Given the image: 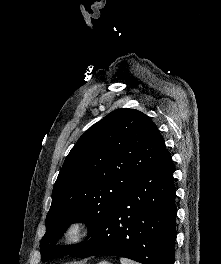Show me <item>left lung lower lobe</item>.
<instances>
[{
    "label": "left lung lower lobe",
    "mask_w": 221,
    "mask_h": 264,
    "mask_svg": "<svg viewBox=\"0 0 221 264\" xmlns=\"http://www.w3.org/2000/svg\"><path fill=\"white\" fill-rule=\"evenodd\" d=\"M176 189L166 149L71 256L109 255L143 264H174Z\"/></svg>",
    "instance_id": "left-lung-lower-lobe-1"
}]
</instances>
